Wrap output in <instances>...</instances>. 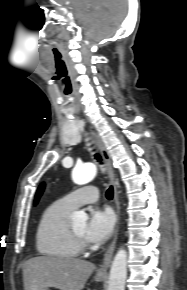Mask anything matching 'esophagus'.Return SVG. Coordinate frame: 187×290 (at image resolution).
<instances>
[{"label": "esophagus", "instance_id": "obj_1", "mask_svg": "<svg viewBox=\"0 0 187 290\" xmlns=\"http://www.w3.org/2000/svg\"><path fill=\"white\" fill-rule=\"evenodd\" d=\"M91 135H92L98 149L100 150V152L103 156V159H104L105 164H106L108 176H109L111 183L113 185V188H114V202H115V206H116L117 220L119 221L118 191H117L116 179H115V174H114V170H113V166H112L111 156H110L104 142L102 141L100 136L94 130H91ZM117 235H118V228L116 229L112 243L110 244L109 248L107 249V251L104 255L103 263L97 271L98 275H106L107 274V270H108V267L111 263V259H112L114 249L116 246Z\"/></svg>", "mask_w": 187, "mask_h": 290}]
</instances>
